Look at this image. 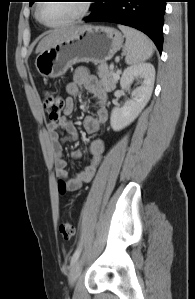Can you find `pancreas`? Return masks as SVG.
<instances>
[{
	"label": "pancreas",
	"instance_id": "pancreas-1",
	"mask_svg": "<svg viewBox=\"0 0 195 299\" xmlns=\"http://www.w3.org/2000/svg\"><path fill=\"white\" fill-rule=\"evenodd\" d=\"M97 68V74L101 79V84L107 91H112L115 88L119 78L113 77L114 71L108 67L107 63H101Z\"/></svg>",
	"mask_w": 195,
	"mask_h": 299
}]
</instances>
